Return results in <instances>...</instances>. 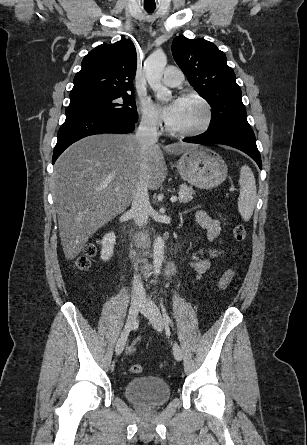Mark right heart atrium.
Returning <instances> with one entry per match:
<instances>
[{
	"mask_svg": "<svg viewBox=\"0 0 307 445\" xmlns=\"http://www.w3.org/2000/svg\"><path fill=\"white\" fill-rule=\"evenodd\" d=\"M142 125L149 132H156L161 126V119L157 111L148 103L141 104Z\"/></svg>",
	"mask_w": 307,
	"mask_h": 445,
	"instance_id": "right-heart-atrium-1",
	"label": "right heart atrium"
}]
</instances>
